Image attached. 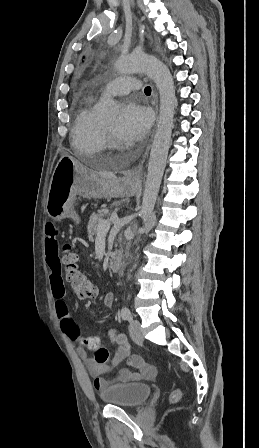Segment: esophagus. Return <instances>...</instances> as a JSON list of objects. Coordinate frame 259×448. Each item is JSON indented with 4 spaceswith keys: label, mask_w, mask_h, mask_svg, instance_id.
I'll return each mask as SVG.
<instances>
[{
    "label": "esophagus",
    "mask_w": 259,
    "mask_h": 448,
    "mask_svg": "<svg viewBox=\"0 0 259 448\" xmlns=\"http://www.w3.org/2000/svg\"><path fill=\"white\" fill-rule=\"evenodd\" d=\"M157 101H158V98H157V96H156V97L154 98L152 104H153V105H156V104H157ZM156 114H157V108H156ZM149 149H150V145L147 146V148H146V150H145V152H144L142 161L139 163V165H138L137 167L133 168L132 170H130V171L127 173V175H126V179L130 180V181L133 182V183H138V182L140 181V173H141V171H142V169H143V164H144V162H145V158H146V156H147L148 153H149Z\"/></svg>",
    "instance_id": "34e87169"
}]
</instances>
